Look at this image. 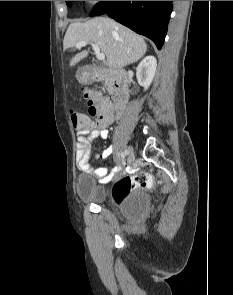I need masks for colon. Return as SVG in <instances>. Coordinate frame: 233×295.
I'll return each mask as SVG.
<instances>
[{"label": "colon", "mask_w": 233, "mask_h": 295, "mask_svg": "<svg viewBox=\"0 0 233 295\" xmlns=\"http://www.w3.org/2000/svg\"><path fill=\"white\" fill-rule=\"evenodd\" d=\"M97 93L84 90L88 103V115L71 109V120L77 130H85L98 125L105 117V111L97 103ZM92 118H95L94 122ZM153 179L147 172H139L132 176L120 178L112 188V196L116 203L124 201L135 188L150 187Z\"/></svg>", "instance_id": "5ec220e1"}]
</instances>
